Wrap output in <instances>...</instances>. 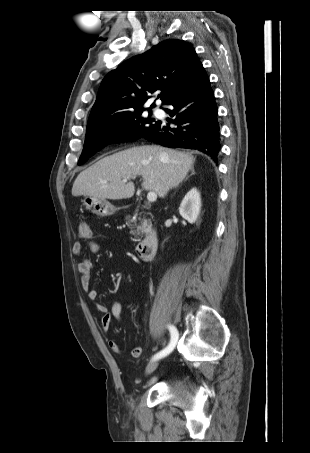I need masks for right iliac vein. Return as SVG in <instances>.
<instances>
[{
  "label": "right iliac vein",
  "mask_w": 310,
  "mask_h": 453,
  "mask_svg": "<svg viewBox=\"0 0 310 453\" xmlns=\"http://www.w3.org/2000/svg\"><path fill=\"white\" fill-rule=\"evenodd\" d=\"M158 367V361L154 360V361H151L147 366H146V369H145V373L146 375H149L151 374L152 372H154Z\"/></svg>",
  "instance_id": "obj_1"
}]
</instances>
